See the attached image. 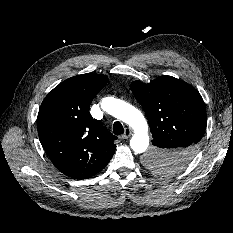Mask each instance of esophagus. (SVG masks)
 I'll list each match as a JSON object with an SVG mask.
<instances>
[{
    "label": "esophagus",
    "mask_w": 233,
    "mask_h": 233,
    "mask_svg": "<svg viewBox=\"0 0 233 233\" xmlns=\"http://www.w3.org/2000/svg\"><path fill=\"white\" fill-rule=\"evenodd\" d=\"M132 135V131L130 128H126L124 134L121 136L122 139H127Z\"/></svg>",
    "instance_id": "1"
}]
</instances>
